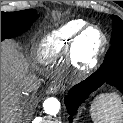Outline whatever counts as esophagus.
<instances>
[{"instance_id": "34e87169", "label": "esophagus", "mask_w": 123, "mask_h": 123, "mask_svg": "<svg viewBox=\"0 0 123 123\" xmlns=\"http://www.w3.org/2000/svg\"><path fill=\"white\" fill-rule=\"evenodd\" d=\"M60 85L58 83H54L50 85L47 89V94H57L59 92Z\"/></svg>"}]
</instances>
